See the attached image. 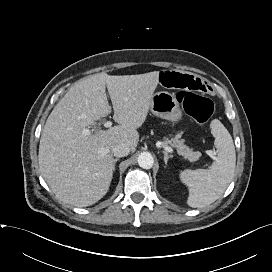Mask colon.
Instances as JSON below:
<instances>
[{
  "instance_id": "colon-1",
  "label": "colon",
  "mask_w": 272,
  "mask_h": 272,
  "mask_svg": "<svg viewBox=\"0 0 272 272\" xmlns=\"http://www.w3.org/2000/svg\"><path fill=\"white\" fill-rule=\"evenodd\" d=\"M177 98L182 103L186 114L199 124H205L214 112L213 101L204 95L181 91L177 94Z\"/></svg>"
}]
</instances>
